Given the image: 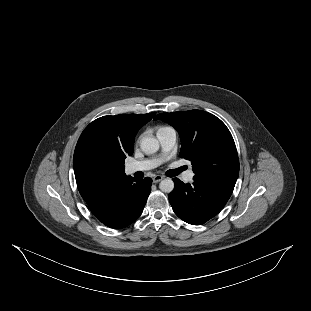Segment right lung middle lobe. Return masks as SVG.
<instances>
[{"mask_svg":"<svg viewBox=\"0 0 311 311\" xmlns=\"http://www.w3.org/2000/svg\"><path fill=\"white\" fill-rule=\"evenodd\" d=\"M87 151L90 155H96L100 152V148L97 144L93 143V144H90Z\"/></svg>","mask_w":311,"mask_h":311,"instance_id":"obj_1","label":"right lung middle lobe"}]
</instances>
